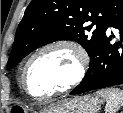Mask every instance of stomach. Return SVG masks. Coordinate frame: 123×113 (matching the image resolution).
<instances>
[{
    "mask_svg": "<svg viewBox=\"0 0 123 113\" xmlns=\"http://www.w3.org/2000/svg\"><path fill=\"white\" fill-rule=\"evenodd\" d=\"M101 100L97 96H77L58 102L44 109L42 113H98Z\"/></svg>",
    "mask_w": 123,
    "mask_h": 113,
    "instance_id": "obj_1",
    "label": "stomach"
}]
</instances>
